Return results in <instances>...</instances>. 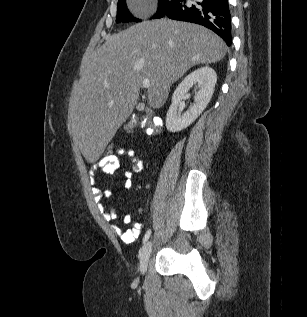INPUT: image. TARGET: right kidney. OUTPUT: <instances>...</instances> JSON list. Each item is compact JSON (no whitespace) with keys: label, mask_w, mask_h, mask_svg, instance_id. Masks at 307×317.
<instances>
[{"label":"right kidney","mask_w":307,"mask_h":317,"mask_svg":"<svg viewBox=\"0 0 307 317\" xmlns=\"http://www.w3.org/2000/svg\"><path fill=\"white\" fill-rule=\"evenodd\" d=\"M216 81V72L209 66L198 68L183 79L173 93L172 103L166 115L168 131L179 132L198 118L212 98ZM194 85H197L196 87L199 89L195 93L194 104L181 114L179 104Z\"/></svg>","instance_id":"right-kidney-1"}]
</instances>
